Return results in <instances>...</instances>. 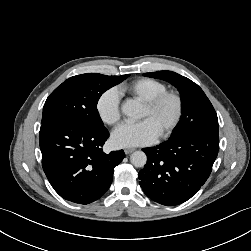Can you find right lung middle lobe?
Here are the masks:
<instances>
[{
    "mask_svg": "<svg viewBox=\"0 0 251 251\" xmlns=\"http://www.w3.org/2000/svg\"><path fill=\"white\" fill-rule=\"evenodd\" d=\"M129 76L130 74L106 76L87 73L70 77L47 98L41 124L54 120H70L90 127H104L97 111V102L106 90Z\"/></svg>",
    "mask_w": 251,
    "mask_h": 251,
    "instance_id": "obj_1",
    "label": "right lung middle lobe"
}]
</instances>
